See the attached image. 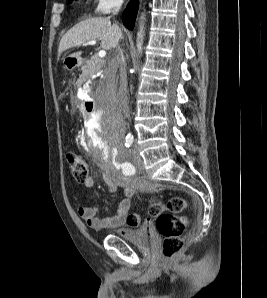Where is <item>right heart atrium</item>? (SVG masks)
<instances>
[{
	"mask_svg": "<svg viewBox=\"0 0 267 298\" xmlns=\"http://www.w3.org/2000/svg\"><path fill=\"white\" fill-rule=\"evenodd\" d=\"M122 3L123 0H95L94 10L97 14H107Z\"/></svg>",
	"mask_w": 267,
	"mask_h": 298,
	"instance_id": "obj_1",
	"label": "right heart atrium"
}]
</instances>
